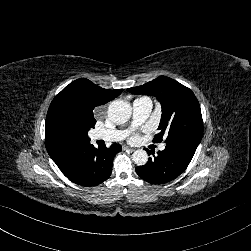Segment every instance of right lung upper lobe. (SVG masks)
Masks as SVG:
<instances>
[{
    "label": "right lung upper lobe",
    "mask_w": 251,
    "mask_h": 251,
    "mask_svg": "<svg viewBox=\"0 0 251 251\" xmlns=\"http://www.w3.org/2000/svg\"><path fill=\"white\" fill-rule=\"evenodd\" d=\"M123 89H103L86 78H80L67 85L50 104L46 117L45 146L52 159L63 150L90 142L87 132L75 130L60 132L52 122L56 116L65 115L78 122H95L93 110L106 104L122 93Z\"/></svg>",
    "instance_id": "cb5924a9"
}]
</instances>
